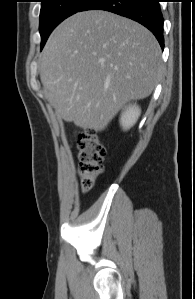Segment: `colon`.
<instances>
[{
  "mask_svg": "<svg viewBox=\"0 0 195 299\" xmlns=\"http://www.w3.org/2000/svg\"><path fill=\"white\" fill-rule=\"evenodd\" d=\"M106 146L93 130L82 132L77 139L78 174L84 192L89 191L103 173Z\"/></svg>",
  "mask_w": 195,
  "mask_h": 299,
  "instance_id": "5ec220e1",
  "label": "colon"
}]
</instances>
